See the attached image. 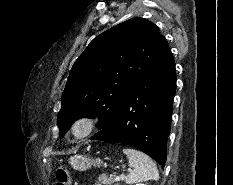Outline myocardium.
I'll return each mask as SVG.
<instances>
[{
  "label": "myocardium",
  "instance_id": "obj_1",
  "mask_svg": "<svg viewBox=\"0 0 233 185\" xmlns=\"http://www.w3.org/2000/svg\"><path fill=\"white\" fill-rule=\"evenodd\" d=\"M97 127V120L92 115H80L70 124L69 134L75 140L89 137Z\"/></svg>",
  "mask_w": 233,
  "mask_h": 185
}]
</instances>
